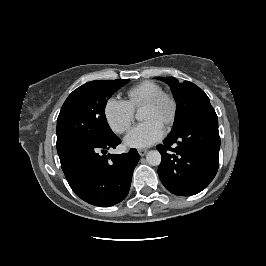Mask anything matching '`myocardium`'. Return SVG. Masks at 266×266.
I'll use <instances>...</instances> for the list:
<instances>
[{
  "mask_svg": "<svg viewBox=\"0 0 266 266\" xmlns=\"http://www.w3.org/2000/svg\"><path fill=\"white\" fill-rule=\"evenodd\" d=\"M163 103H167L170 108L169 114L164 121L166 126H170L174 123L178 112V103L172 94L162 92L148 100L144 106H159Z\"/></svg>",
  "mask_w": 266,
  "mask_h": 266,
  "instance_id": "1",
  "label": "myocardium"
}]
</instances>
